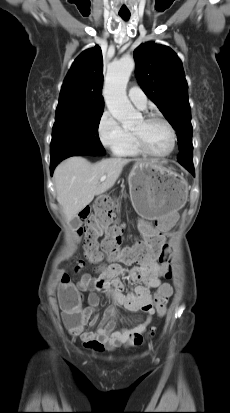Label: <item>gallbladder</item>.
<instances>
[{
    "instance_id": "1",
    "label": "gallbladder",
    "mask_w": 230,
    "mask_h": 413,
    "mask_svg": "<svg viewBox=\"0 0 230 413\" xmlns=\"http://www.w3.org/2000/svg\"><path fill=\"white\" fill-rule=\"evenodd\" d=\"M80 225V221L79 220H77V219H74L73 221H72V226L73 227H78Z\"/></svg>"
}]
</instances>
